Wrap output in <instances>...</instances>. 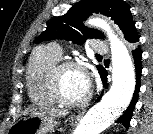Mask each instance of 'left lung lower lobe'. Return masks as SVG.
Listing matches in <instances>:
<instances>
[{"instance_id": "1", "label": "left lung lower lobe", "mask_w": 153, "mask_h": 134, "mask_svg": "<svg viewBox=\"0 0 153 134\" xmlns=\"http://www.w3.org/2000/svg\"><path fill=\"white\" fill-rule=\"evenodd\" d=\"M132 55L135 63V69H136V88L133 95V98L131 100L130 105L128 106L127 110L124 112L122 116L119 117V119L116 121L118 123H122L126 128L129 127L130 118L132 116L134 107L138 100V93L140 90V78H141V72H142V50L139 46L135 47V49L132 50ZM101 79L103 81V85L107 86V71L103 68L100 72ZM103 95V92L98 97L97 101L101 99Z\"/></svg>"}]
</instances>
